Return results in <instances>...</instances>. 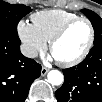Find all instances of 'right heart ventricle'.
Wrapping results in <instances>:
<instances>
[{"label": "right heart ventricle", "instance_id": "right-heart-ventricle-1", "mask_svg": "<svg viewBox=\"0 0 102 102\" xmlns=\"http://www.w3.org/2000/svg\"><path fill=\"white\" fill-rule=\"evenodd\" d=\"M77 17L76 14L65 10L51 9L34 13L31 16V20L41 37L46 42H49L66 23Z\"/></svg>", "mask_w": 102, "mask_h": 102}]
</instances>
